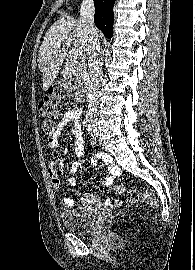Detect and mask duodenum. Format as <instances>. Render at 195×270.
Segmentation results:
<instances>
[{"label":"duodenum","instance_id":"410a0bca","mask_svg":"<svg viewBox=\"0 0 195 270\" xmlns=\"http://www.w3.org/2000/svg\"><path fill=\"white\" fill-rule=\"evenodd\" d=\"M74 72H75V68L72 64L66 65L65 75L67 77H72L74 75ZM90 89H91L90 84H86L83 88L80 89L78 93V98L80 101L85 102L88 100L89 95H90Z\"/></svg>","mask_w":195,"mask_h":270}]
</instances>
